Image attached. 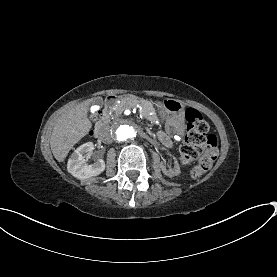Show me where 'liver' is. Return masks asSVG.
<instances>
[{"label":"liver","instance_id":"obj_1","mask_svg":"<svg viewBox=\"0 0 277 277\" xmlns=\"http://www.w3.org/2000/svg\"><path fill=\"white\" fill-rule=\"evenodd\" d=\"M93 99H87L65 112L56 122L51 138V151L58 162H63L71 148L90 131L92 124L87 112Z\"/></svg>","mask_w":277,"mask_h":277}]
</instances>
